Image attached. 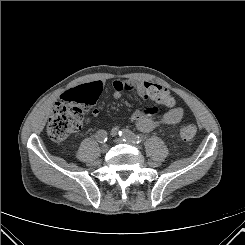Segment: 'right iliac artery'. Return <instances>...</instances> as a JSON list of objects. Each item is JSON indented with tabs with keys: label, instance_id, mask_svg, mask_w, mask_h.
<instances>
[{
	"label": "right iliac artery",
	"instance_id": "82829eb1",
	"mask_svg": "<svg viewBox=\"0 0 245 245\" xmlns=\"http://www.w3.org/2000/svg\"><path fill=\"white\" fill-rule=\"evenodd\" d=\"M96 139L99 143H105L107 141V133L104 130H99L96 133Z\"/></svg>",
	"mask_w": 245,
	"mask_h": 245
}]
</instances>
